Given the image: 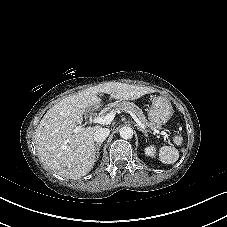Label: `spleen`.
<instances>
[{
  "mask_svg": "<svg viewBox=\"0 0 227 227\" xmlns=\"http://www.w3.org/2000/svg\"><path fill=\"white\" fill-rule=\"evenodd\" d=\"M183 141V137L181 135H175L173 137V142L176 145H181ZM179 158V152L175 147L171 146H163L160 149L159 159L164 164H173Z\"/></svg>",
  "mask_w": 227,
  "mask_h": 227,
  "instance_id": "1",
  "label": "spleen"
}]
</instances>
